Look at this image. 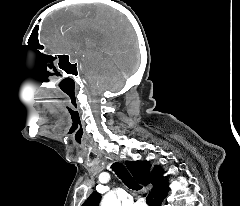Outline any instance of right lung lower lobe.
<instances>
[{
    "label": "right lung lower lobe",
    "instance_id": "obj_1",
    "mask_svg": "<svg viewBox=\"0 0 240 206\" xmlns=\"http://www.w3.org/2000/svg\"><path fill=\"white\" fill-rule=\"evenodd\" d=\"M166 195H167V194H165V195H163V196H161V197L155 199V200H154V202H155V206H160L161 203H162V201H163V199L166 197Z\"/></svg>",
    "mask_w": 240,
    "mask_h": 206
}]
</instances>
